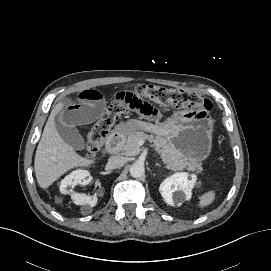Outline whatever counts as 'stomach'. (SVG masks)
<instances>
[{"label": "stomach", "mask_w": 271, "mask_h": 271, "mask_svg": "<svg viewBox=\"0 0 271 271\" xmlns=\"http://www.w3.org/2000/svg\"><path fill=\"white\" fill-rule=\"evenodd\" d=\"M121 130H145L160 134L190 163L201 162L211 152L213 120L205 110H177L158 125L132 119Z\"/></svg>", "instance_id": "0dacf381"}]
</instances>
